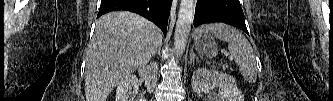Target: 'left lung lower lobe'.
I'll return each instance as SVG.
<instances>
[{"mask_svg":"<svg viewBox=\"0 0 333 101\" xmlns=\"http://www.w3.org/2000/svg\"><path fill=\"white\" fill-rule=\"evenodd\" d=\"M194 26L222 22L248 33L239 0H197Z\"/></svg>","mask_w":333,"mask_h":101,"instance_id":"left-lung-lower-lobe-1","label":"left lung lower lobe"}]
</instances>
